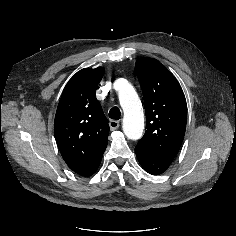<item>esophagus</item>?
<instances>
[{
    "label": "esophagus",
    "instance_id": "34e87169",
    "mask_svg": "<svg viewBox=\"0 0 236 236\" xmlns=\"http://www.w3.org/2000/svg\"><path fill=\"white\" fill-rule=\"evenodd\" d=\"M109 126H110L111 130H115V129L119 128L120 122L118 120H111L109 122Z\"/></svg>",
    "mask_w": 236,
    "mask_h": 236
}]
</instances>
